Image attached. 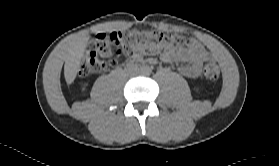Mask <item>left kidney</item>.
<instances>
[{
    "label": "left kidney",
    "instance_id": "1",
    "mask_svg": "<svg viewBox=\"0 0 279 166\" xmlns=\"http://www.w3.org/2000/svg\"><path fill=\"white\" fill-rule=\"evenodd\" d=\"M196 91H199V89H198V88H196Z\"/></svg>",
    "mask_w": 279,
    "mask_h": 166
}]
</instances>
